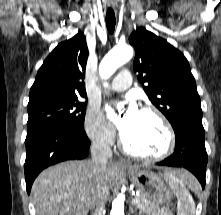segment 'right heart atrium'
Instances as JSON below:
<instances>
[{"instance_id":"1","label":"right heart atrium","mask_w":221,"mask_h":215,"mask_svg":"<svg viewBox=\"0 0 221 215\" xmlns=\"http://www.w3.org/2000/svg\"><path fill=\"white\" fill-rule=\"evenodd\" d=\"M84 128L88 137L95 143L109 145L114 141L115 131L97 105L88 108Z\"/></svg>"}]
</instances>
